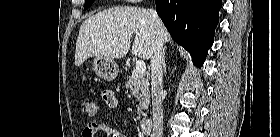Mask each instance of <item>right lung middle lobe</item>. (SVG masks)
<instances>
[{"label": "right lung middle lobe", "mask_w": 280, "mask_h": 137, "mask_svg": "<svg viewBox=\"0 0 280 137\" xmlns=\"http://www.w3.org/2000/svg\"><path fill=\"white\" fill-rule=\"evenodd\" d=\"M95 0H85L84 10L88 9Z\"/></svg>", "instance_id": "1"}]
</instances>
